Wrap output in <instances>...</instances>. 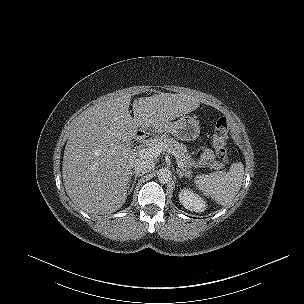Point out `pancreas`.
I'll list each match as a JSON object with an SVG mask.
<instances>
[{
    "mask_svg": "<svg viewBox=\"0 0 304 304\" xmlns=\"http://www.w3.org/2000/svg\"><path fill=\"white\" fill-rule=\"evenodd\" d=\"M152 146L157 144H162L164 150L169 151L175 157L177 162H181L183 166L191 168L193 166H198L195 161L188 154V150L186 146L182 143H179L175 139L169 137L167 134H162L160 136L155 137L150 141ZM224 165L219 162L210 163V168H222Z\"/></svg>",
    "mask_w": 304,
    "mask_h": 304,
    "instance_id": "1",
    "label": "pancreas"
}]
</instances>
